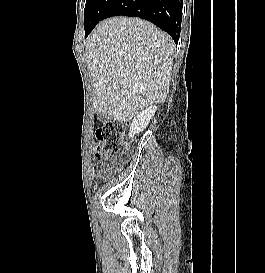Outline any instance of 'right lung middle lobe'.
Masks as SVG:
<instances>
[{
	"mask_svg": "<svg viewBox=\"0 0 265 273\" xmlns=\"http://www.w3.org/2000/svg\"><path fill=\"white\" fill-rule=\"evenodd\" d=\"M114 0H86L84 10L85 32L93 29L103 19V16Z\"/></svg>",
	"mask_w": 265,
	"mask_h": 273,
	"instance_id": "obj_1",
	"label": "right lung middle lobe"
}]
</instances>
